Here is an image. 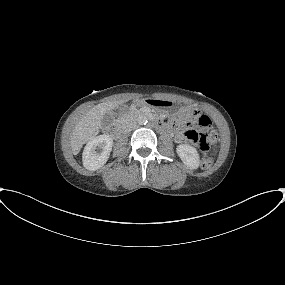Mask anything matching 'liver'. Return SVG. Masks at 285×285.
Listing matches in <instances>:
<instances>
[{"label": "liver", "instance_id": "1", "mask_svg": "<svg viewBox=\"0 0 285 285\" xmlns=\"http://www.w3.org/2000/svg\"><path fill=\"white\" fill-rule=\"evenodd\" d=\"M124 102L125 100L100 103L90 109L79 120L70 137L71 148L74 155H77L82 146L95 138L99 133L105 113L122 105Z\"/></svg>", "mask_w": 285, "mask_h": 285}]
</instances>
